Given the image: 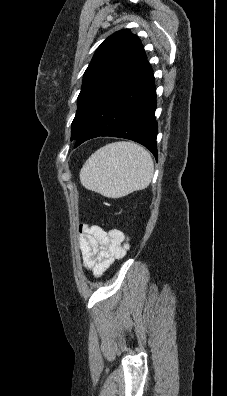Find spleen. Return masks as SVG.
Here are the masks:
<instances>
[{
  "instance_id": "spleen-1",
  "label": "spleen",
  "mask_w": 227,
  "mask_h": 396,
  "mask_svg": "<svg viewBox=\"0 0 227 396\" xmlns=\"http://www.w3.org/2000/svg\"><path fill=\"white\" fill-rule=\"evenodd\" d=\"M153 173V160L145 148L119 141L103 146L89 157L80 171V181L88 190L120 198L147 188Z\"/></svg>"
}]
</instances>
